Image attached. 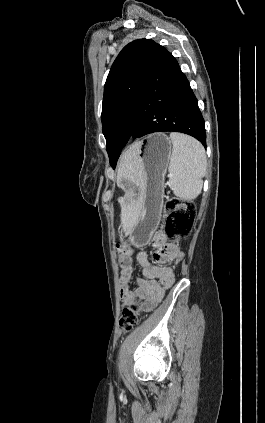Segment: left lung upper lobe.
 Returning a JSON list of instances; mask_svg holds the SVG:
<instances>
[{
    "mask_svg": "<svg viewBox=\"0 0 265 423\" xmlns=\"http://www.w3.org/2000/svg\"><path fill=\"white\" fill-rule=\"evenodd\" d=\"M160 48L151 39L135 40L122 49L108 74L101 120L113 168L128 142L138 98Z\"/></svg>",
    "mask_w": 265,
    "mask_h": 423,
    "instance_id": "5c2ea615",
    "label": "left lung upper lobe"
}]
</instances>
